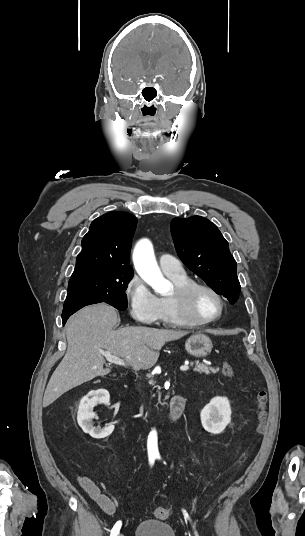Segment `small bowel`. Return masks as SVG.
Instances as JSON below:
<instances>
[{
    "label": "small bowel",
    "mask_w": 305,
    "mask_h": 536,
    "mask_svg": "<svg viewBox=\"0 0 305 536\" xmlns=\"http://www.w3.org/2000/svg\"><path fill=\"white\" fill-rule=\"evenodd\" d=\"M77 480L83 490L101 508V510L105 514L113 515L115 513V503L108 496L103 494L100 491L99 487L90 478L78 475Z\"/></svg>",
    "instance_id": "1"
}]
</instances>
